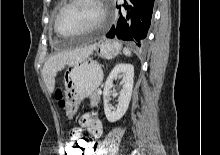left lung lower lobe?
Masks as SVG:
<instances>
[{
	"mask_svg": "<svg viewBox=\"0 0 220 155\" xmlns=\"http://www.w3.org/2000/svg\"><path fill=\"white\" fill-rule=\"evenodd\" d=\"M124 2L123 6L127 10L126 19L120 15L117 26H112L106 37H117L141 47L150 27L154 0H130L133 6L126 0Z\"/></svg>",
	"mask_w": 220,
	"mask_h": 155,
	"instance_id": "1",
	"label": "left lung lower lobe"
}]
</instances>
